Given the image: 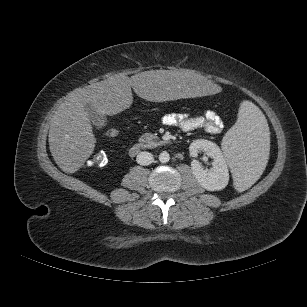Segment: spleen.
<instances>
[{
  "mask_svg": "<svg viewBox=\"0 0 307 307\" xmlns=\"http://www.w3.org/2000/svg\"><path fill=\"white\" fill-rule=\"evenodd\" d=\"M268 139L269 128L264 114L252 102L243 101L236 123L222 141L238 191L260 177L267 160Z\"/></svg>",
  "mask_w": 307,
  "mask_h": 307,
  "instance_id": "spleen-1",
  "label": "spleen"
}]
</instances>
